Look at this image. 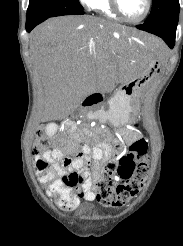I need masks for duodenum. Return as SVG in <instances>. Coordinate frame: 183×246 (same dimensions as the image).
Returning a JSON list of instances; mask_svg holds the SVG:
<instances>
[{
    "mask_svg": "<svg viewBox=\"0 0 183 246\" xmlns=\"http://www.w3.org/2000/svg\"><path fill=\"white\" fill-rule=\"evenodd\" d=\"M103 99V95L100 92H93L91 94H89L85 100L83 105L87 108V109H92L93 106L99 104Z\"/></svg>",
    "mask_w": 183,
    "mask_h": 246,
    "instance_id": "duodenum-1",
    "label": "duodenum"
}]
</instances>
